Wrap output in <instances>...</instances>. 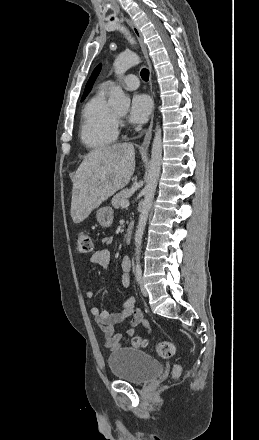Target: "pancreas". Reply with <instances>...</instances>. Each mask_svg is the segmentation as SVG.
Returning <instances> with one entry per match:
<instances>
[{
    "label": "pancreas",
    "mask_w": 259,
    "mask_h": 440,
    "mask_svg": "<svg viewBox=\"0 0 259 440\" xmlns=\"http://www.w3.org/2000/svg\"><path fill=\"white\" fill-rule=\"evenodd\" d=\"M128 199V189H123L122 191H120L119 193H117L113 198H112V206L115 209H118L121 207V203L123 201H126Z\"/></svg>",
    "instance_id": "obj_1"
}]
</instances>
